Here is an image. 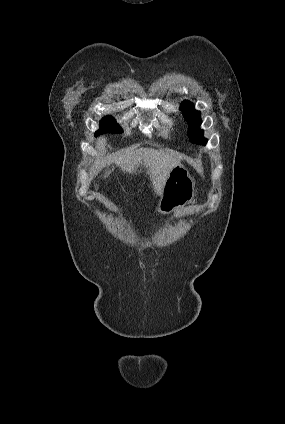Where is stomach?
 Here are the masks:
<instances>
[{
	"mask_svg": "<svg viewBox=\"0 0 285 424\" xmlns=\"http://www.w3.org/2000/svg\"><path fill=\"white\" fill-rule=\"evenodd\" d=\"M196 194L195 181L188 169L178 163L170 171L156 211L170 214L192 202Z\"/></svg>",
	"mask_w": 285,
	"mask_h": 424,
	"instance_id": "0dacf381",
	"label": "stomach"
}]
</instances>
